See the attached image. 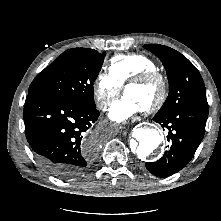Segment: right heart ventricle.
Returning <instances> with one entry per match:
<instances>
[{"mask_svg":"<svg viewBox=\"0 0 221 221\" xmlns=\"http://www.w3.org/2000/svg\"><path fill=\"white\" fill-rule=\"evenodd\" d=\"M147 70H157V65L152 58L142 53L113 57L108 65V73L121 86H124L130 78Z\"/></svg>","mask_w":221,"mask_h":221,"instance_id":"right-heart-ventricle-1","label":"right heart ventricle"}]
</instances>
